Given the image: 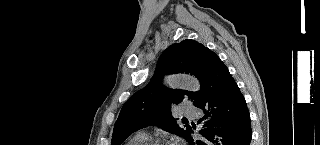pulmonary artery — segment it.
Listing matches in <instances>:
<instances>
[{
  "label": "pulmonary artery",
  "mask_w": 320,
  "mask_h": 145,
  "mask_svg": "<svg viewBox=\"0 0 320 145\" xmlns=\"http://www.w3.org/2000/svg\"><path fill=\"white\" fill-rule=\"evenodd\" d=\"M182 112L185 116L195 118L198 114V109L195 107L184 106Z\"/></svg>",
  "instance_id": "obj_1"
}]
</instances>
